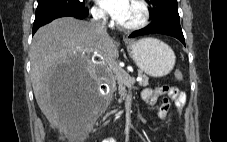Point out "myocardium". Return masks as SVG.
<instances>
[{"label": "myocardium", "mask_w": 227, "mask_h": 142, "mask_svg": "<svg viewBox=\"0 0 227 142\" xmlns=\"http://www.w3.org/2000/svg\"><path fill=\"white\" fill-rule=\"evenodd\" d=\"M141 9V17L132 24L117 23V27L124 31H136L148 25L151 18V9L146 0H135Z\"/></svg>", "instance_id": "f54148a6"}]
</instances>
